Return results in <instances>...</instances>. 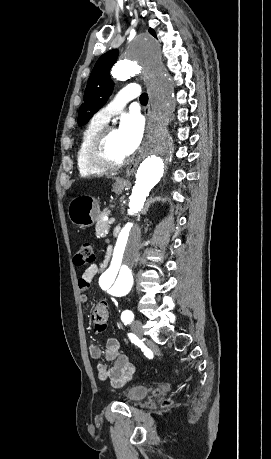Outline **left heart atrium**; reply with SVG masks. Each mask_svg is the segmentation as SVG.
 I'll list each match as a JSON object with an SVG mask.
<instances>
[{
	"mask_svg": "<svg viewBox=\"0 0 271 459\" xmlns=\"http://www.w3.org/2000/svg\"><path fill=\"white\" fill-rule=\"evenodd\" d=\"M144 118L138 113L124 115L119 124V133L127 153L134 152L144 136Z\"/></svg>",
	"mask_w": 271,
	"mask_h": 459,
	"instance_id": "obj_1",
	"label": "left heart atrium"
}]
</instances>
